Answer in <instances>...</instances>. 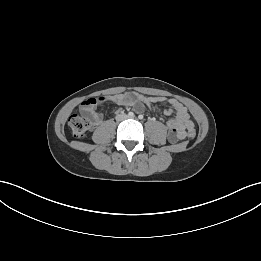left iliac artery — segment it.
<instances>
[{"instance_id": "44dca946", "label": "left iliac artery", "mask_w": 261, "mask_h": 261, "mask_svg": "<svg viewBox=\"0 0 261 261\" xmlns=\"http://www.w3.org/2000/svg\"><path fill=\"white\" fill-rule=\"evenodd\" d=\"M138 118H139V119H143V115H139Z\"/></svg>"}]
</instances>
